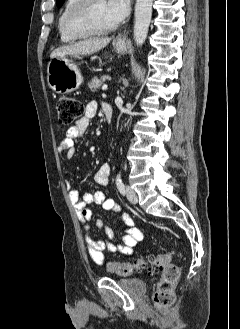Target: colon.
<instances>
[{
	"label": "colon",
	"instance_id": "obj_1",
	"mask_svg": "<svg viewBox=\"0 0 240 329\" xmlns=\"http://www.w3.org/2000/svg\"><path fill=\"white\" fill-rule=\"evenodd\" d=\"M58 119L62 125H71L79 119L84 109L80 100L71 96H60L56 101ZM174 255L173 251L161 252L140 259L134 263L109 262L108 270L119 275H129L137 269L161 271V279L153 295V302L157 308H166L175 301V290L180 276V268L169 261Z\"/></svg>",
	"mask_w": 240,
	"mask_h": 329
}]
</instances>
